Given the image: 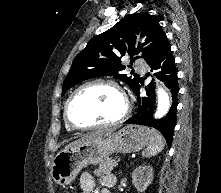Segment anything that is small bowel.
<instances>
[{
    "label": "small bowel",
    "instance_id": "small-bowel-1",
    "mask_svg": "<svg viewBox=\"0 0 221 193\" xmlns=\"http://www.w3.org/2000/svg\"><path fill=\"white\" fill-rule=\"evenodd\" d=\"M83 193H91L96 186L95 177L89 172H83L80 176ZM100 193H110L109 187L114 185L112 176H103L99 181Z\"/></svg>",
    "mask_w": 221,
    "mask_h": 193
}]
</instances>
